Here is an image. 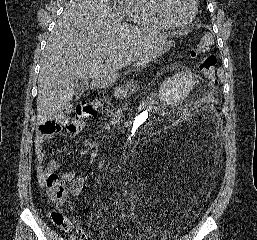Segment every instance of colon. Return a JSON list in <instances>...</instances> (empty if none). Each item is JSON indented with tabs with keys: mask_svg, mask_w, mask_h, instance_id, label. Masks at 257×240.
<instances>
[{
	"mask_svg": "<svg viewBox=\"0 0 257 240\" xmlns=\"http://www.w3.org/2000/svg\"><path fill=\"white\" fill-rule=\"evenodd\" d=\"M213 46V37L210 34H206L202 37L200 42L191 51L192 57H198L203 55L199 68L202 74L209 80L213 82L215 86L220 84L219 79L216 77V56L211 52ZM104 104L103 99H98L97 101L87 102L83 101L79 103L75 109V123L72 124L76 127H81L88 119L93 117L98 108ZM62 127L52 121H47L39 126V132L43 134H53L59 131ZM44 183L47 188V194L49 199L57 204L63 203L67 198V188L64 181L56 174L48 175ZM52 222L59 228L63 230L69 229V219L61 212L51 213Z\"/></svg>",
	"mask_w": 257,
	"mask_h": 240,
	"instance_id": "1",
	"label": "colon"
}]
</instances>
